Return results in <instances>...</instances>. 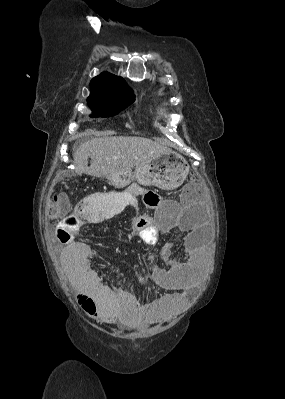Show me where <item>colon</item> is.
Returning <instances> with one entry per match:
<instances>
[{
	"mask_svg": "<svg viewBox=\"0 0 285 399\" xmlns=\"http://www.w3.org/2000/svg\"><path fill=\"white\" fill-rule=\"evenodd\" d=\"M201 186L202 180L198 177H192L186 183L184 192L191 193L197 191ZM144 201L149 207H156L159 204L160 199L157 194L149 192L144 195ZM46 210L48 212V217L53 221L68 222L74 218L67 216L68 198L65 191L53 193L47 201ZM142 224L143 222L140 221L138 223V228L141 227ZM139 232L138 229L133 230L130 228L125 236L131 238L138 235ZM59 238L66 242H76L78 240L71 231H61Z\"/></svg>",
	"mask_w": 285,
	"mask_h": 399,
	"instance_id": "obj_1",
	"label": "colon"
}]
</instances>
